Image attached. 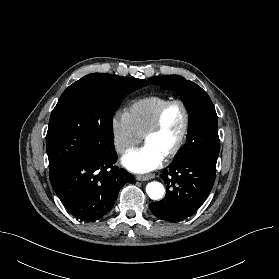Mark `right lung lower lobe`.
<instances>
[{"mask_svg": "<svg viewBox=\"0 0 279 279\" xmlns=\"http://www.w3.org/2000/svg\"><path fill=\"white\" fill-rule=\"evenodd\" d=\"M115 149L102 156H84L51 180L65 208L77 219L91 222L102 218L114 205L121 187L133 175L113 164Z\"/></svg>", "mask_w": 279, "mask_h": 279, "instance_id": "1", "label": "right lung lower lobe"}]
</instances>
